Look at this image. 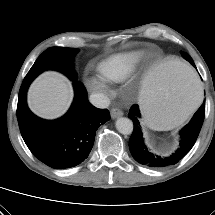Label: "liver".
Returning a JSON list of instances; mask_svg holds the SVG:
<instances>
[{"mask_svg": "<svg viewBox=\"0 0 215 215\" xmlns=\"http://www.w3.org/2000/svg\"><path fill=\"white\" fill-rule=\"evenodd\" d=\"M27 97L33 113L41 118L55 119L68 110L73 99V89L64 76L49 71L32 83Z\"/></svg>", "mask_w": 215, "mask_h": 215, "instance_id": "1", "label": "liver"}]
</instances>
